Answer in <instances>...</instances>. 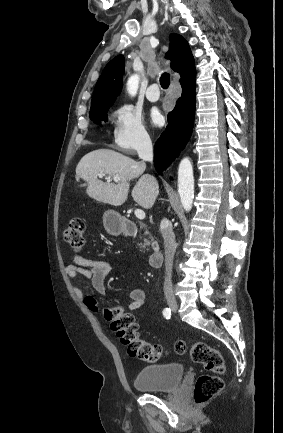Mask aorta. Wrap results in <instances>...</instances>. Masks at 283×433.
Returning <instances> with one entry per match:
<instances>
[{
  "instance_id": "aorta-1",
  "label": "aorta",
  "mask_w": 283,
  "mask_h": 433,
  "mask_svg": "<svg viewBox=\"0 0 283 433\" xmlns=\"http://www.w3.org/2000/svg\"><path fill=\"white\" fill-rule=\"evenodd\" d=\"M139 87V76L132 75L127 81V91L135 96ZM178 192L185 211H190L194 199L193 166L189 158L181 160L178 168Z\"/></svg>"
}]
</instances>
